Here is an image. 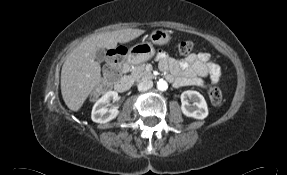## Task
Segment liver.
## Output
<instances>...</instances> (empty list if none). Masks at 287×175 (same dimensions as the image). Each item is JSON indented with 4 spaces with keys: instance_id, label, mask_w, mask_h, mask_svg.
<instances>
[{
    "instance_id": "1",
    "label": "liver",
    "mask_w": 287,
    "mask_h": 175,
    "mask_svg": "<svg viewBox=\"0 0 287 175\" xmlns=\"http://www.w3.org/2000/svg\"><path fill=\"white\" fill-rule=\"evenodd\" d=\"M141 29H121L86 38L67 56L61 70V93L67 107L78 111L87 97L102 82L101 67L95 60L100 48L115 49L142 35Z\"/></svg>"
}]
</instances>
